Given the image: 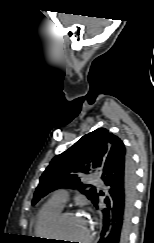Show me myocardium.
Instances as JSON below:
<instances>
[{
    "label": "myocardium",
    "instance_id": "f54148a6",
    "mask_svg": "<svg viewBox=\"0 0 154 243\" xmlns=\"http://www.w3.org/2000/svg\"><path fill=\"white\" fill-rule=\"evenodd\" d=\"M76 212L73 210H62L53 220L52 225H51V229H52V236L54 239L56 240H60V238H62L59 234L60 231V225L62 223V221L71 215H75ZM95 236V225L93 222H91V232L89 234V236L82 242V243H91V241L93 240Z\"/></svg>",
    "mask_w": 154,
    "mask_h": 243
}]
</instances>
